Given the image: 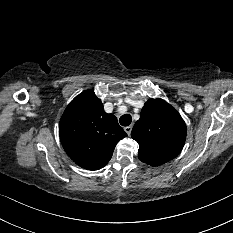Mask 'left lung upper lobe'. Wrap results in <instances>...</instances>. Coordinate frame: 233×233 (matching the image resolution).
Masks as SVG:
<instances>
[{
	"label": "left lung upper lobe",
	"mask_w": 233,
	"mask_h": 233,
	"mask_svg": "<svg viewBox=\"0 0 233 233\" xmlns=\"http://www.w3.org/2000/svg\"><path fill=\"white\" fill-rule=\"evenodd\" d=\"M131 136L139 144L138 158L151 166L175 158L186 139V124L177 110L162 99L148 100Z\"/></svg>",
	"instance_id": "1"
}]
</instances>
